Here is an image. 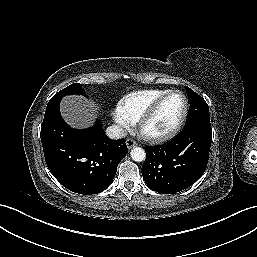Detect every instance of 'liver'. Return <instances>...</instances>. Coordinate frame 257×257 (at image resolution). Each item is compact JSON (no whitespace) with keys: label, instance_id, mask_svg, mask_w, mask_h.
I'll return each instance as SVG.
<instances>
[{"label":"liver","instance_id":"6515ba94","mask_svg":"<svg viewBox=\"0 0 257 257\" xmlns=\"http://www.w3.org/2000/svg\"><path fill=\"white\" fill-rule=\"evenodd\" d=\"M95 103L82 96L72 95L62 99L61 115L73 128L83 129L91 126L96 118Z\"/></svg>","mask_w":257,"mask_h":257}]
</instances>
